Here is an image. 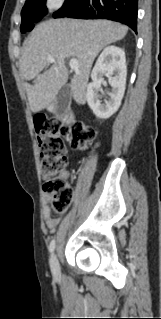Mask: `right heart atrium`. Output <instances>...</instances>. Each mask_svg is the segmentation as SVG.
<instances>
[{"label":"right heart atrium","mask_w":161,"mask_h":319,"mask_svg":"<svg viewBox=\"0 0 161 319\" xmlns=\"http://www.w3.org/2000/svg\"><path fill=\"white\" fill-rule=\"evenodd\" d=\"M63 2L64 0H45L44 5L47 10L52 11L60 8Z\"/></svg>","instance_id":"obj_1"}]
</instances>
